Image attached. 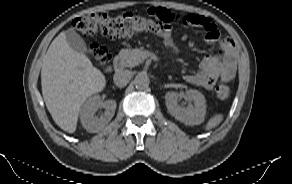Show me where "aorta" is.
<instances>
[{"label": "aorta", "instance_id": "1", "mask_svg": "<svg viewBox=\"0 0 292 184\" xmlns=\"http://www.w3.org/2000/svg\"><path fill=\"white\" fill-rule=\"evenodd\" d=\"M133 83L136 89L143 90L149 86L150 80L145 73H139L134 78Z\"/></svg>", "mask_w": 292, "mask_h": 184}]
</instances>
